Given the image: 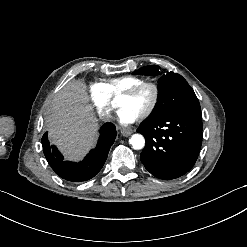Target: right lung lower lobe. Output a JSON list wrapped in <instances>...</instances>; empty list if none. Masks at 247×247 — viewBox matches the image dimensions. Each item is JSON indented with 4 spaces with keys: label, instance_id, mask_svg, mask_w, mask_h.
<instances>
[{
    "label": "right lung lower lobe",
    "instance_id": "98d812e1",
    "mask_svg": "<svg viewBox=\"0 0 247 247\" xmlns=\"http://www.w3.org/2000/svg\"><path fill=\"white\" fill-rule=\"evenodd\" d=\"M116 135L115 125L105 123L100 129L97 146L79 163L64 161L57 148L50 145L47 133L42 137L43 152L49 165L58 176L71 182L86 181L93 178L103 167Z\"/></svg>",
    "mask_w": 247,
    "mask_h": 247
}]
</instances>
